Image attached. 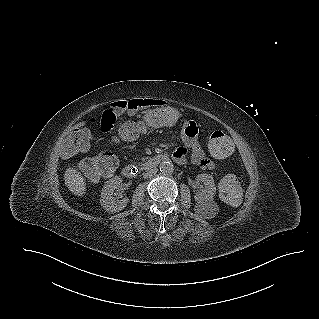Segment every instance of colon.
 Listing matches in <instances>:
<instances>
[{
    "instance_id": "1",
    "label": "colon",
    "mask_w": 319,
    "mask_h": 319,
    "mask_svg": "<svg viewBox=\"0 0 319 319\" xmlns=\"http://www.w3.org/2000/svg\"><path fill=\"white\" fill-rule=\"evenodd\" d=\"M142 131V124L133 121L123 126L114 135H107L99 140L96 149L100 154L87 160L80 168V173L87 180L111 175L117 166V157L113 152L120 151L127 144L135 145L139 143L142 138ZM88 142V131L79 129L66 140L62 153L65 157H72L77 152L84 150L88 146ZM207 151L213 159L224 161L232 155L234 144L228 136L221 132H215L207 144ZM220 194L227 202L238 203L242 195L238 178L233 175L225 176L221 180Z\"/></svg>"
}]
</instances>
